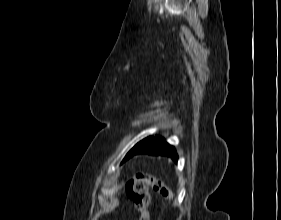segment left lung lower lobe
Here are the masks:
<instances>
[{
  "label": "left lung lower lobe",
  "instance_id": "left-lung-lower-lobe-1",
  "mask_svg": "<svg viewBox=\"0 0 281 220\" xmlns=\"http://www.w3.org/2000/svg\"><path fill=\"white\" fill-rule=\"evenodd\" d=\"M137 154L162 155L177 161L178 155L173 146L169 145L163 137L155 136L141 147L137 148L129 158ZM128 158V159H129Z\"/></svg>",
  "mask_w": 281,
  "mask_h": 220
}]
</instances>
